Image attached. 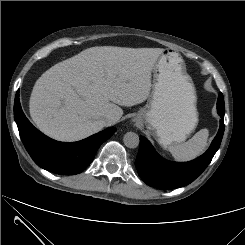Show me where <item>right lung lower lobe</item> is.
<instances>
[{
	"label": "right lung lower lobe",
	"mask_w": 245,
	"mask_h": 245,
	"mask_svg": "<svg viewBox=\"0 0 245 245\" xmlns=\"http://www.w3.org/2000/svg\"><path fill=\"white\" fill-rule=\"evenodd\" d=\"M14 119L22 142L34 162L43 169L61 175L81 173L94 159L100 145L116 128L110 127L84 140L63 143L55 141L37 130L24 115L17 92Z\"/></svg>",
	"instance_id": "1"
}]
</instances>
